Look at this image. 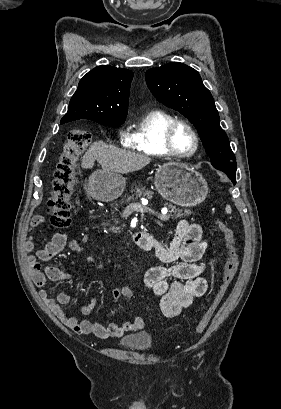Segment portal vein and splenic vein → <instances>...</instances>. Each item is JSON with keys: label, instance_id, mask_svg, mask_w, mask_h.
<instances>
[{"label": "portal vein and splenic vein", "instance_id": "obj_1", "mask_svg": "<svg viewBox=\"0 0 281 409\" xmlns=\"http://www.w3.org/2000/svg\"><path fill=\"white\" fill-rule=\"evenodd\" d=\"M131 209L133 212H136L137 210L141 209L142 215L144 217L147 216H152L155 219H158L161 215V212L158 211V208L156 206H149V207H144L143 204H139L136 200H133L131 202ZM161 221H167L171 219L170 213L168 215H161Z\"/></svg>", "mask_w": 281, "mask_h": 409}]
</instances>
